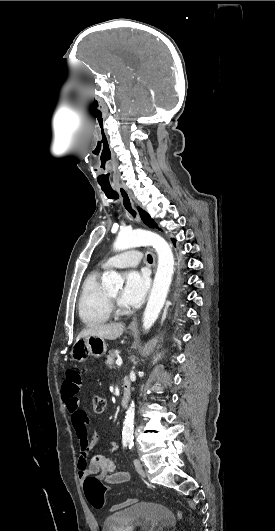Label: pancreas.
Listing matches in <instances>:
<instances>
[{
  "label": "pancreas",
  "instance_id": "1",
  "mask_svg": "<svg viewBox=\"0 0 275 531\" xmlns=\"http://www.w3.org/2000/svg\"><path fill=\"white\" fill-rule=\"evenodd\" d=\"M115 357L116 351H109V355H106V365L107 367H110V369H112V365H114Z\"/></svg>",
  "mask_w": 275,
  "mask_h": 531
}]
</instances>
